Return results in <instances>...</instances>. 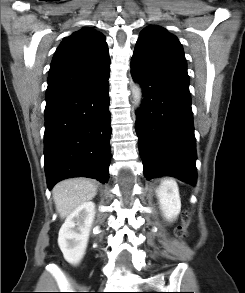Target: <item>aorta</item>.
<instances>
[{
	"mask_svg": "<svg viewBox=\"0 0 245 293\" xmlns=\"http://www.w3.org/2000/svg\"><path fill=\"white\" fill-rule=\"evenodd\" d=\"M132 94L135 106L140 107L142 100V90L138 84L133 85Z\"/></svg>",
	"mask_w": 245,
	"mask_h": 293,
	"instance_id": "762f6f07",
	"label": "aorta"
}]
</instances>
